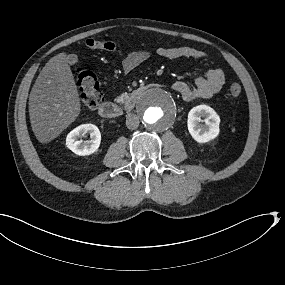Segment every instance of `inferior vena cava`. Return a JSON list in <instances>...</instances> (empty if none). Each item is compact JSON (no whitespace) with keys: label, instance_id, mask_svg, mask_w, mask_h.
Masks as SVG:
<instances>
[{"label":"inferior vena cava","instance_id":"inferior-vena-cava-1","mask_svg":"<svg viewBox=\"0 0 285 285\" xmlns=\"http://www.w3.org/2000/svg\"><path fill=\"white\" fill-rule=\"evenodd\" d=\"M139 117L136 114H128L126 118V126L128 129L134 130L139 126Z\"/></svg>","mask_w":285,"mask_h":285}]
</instances>
